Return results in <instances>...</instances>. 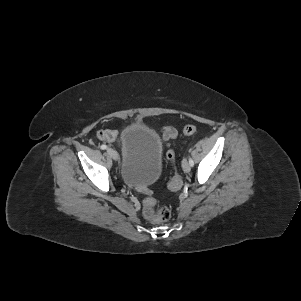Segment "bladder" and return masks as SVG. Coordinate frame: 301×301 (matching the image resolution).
<instances>
[{
  "label": "bladder",
  "instance_id": "bladder-1",
  "mask_svg": "<svg viewBox=\"0 0 301 301\" xmlns=\"http://www.w3.org/2000/svg\"><path fill=\"white\" fill-rule=\"evenodd\" d=\"M122 179L134 186L154 183L161 173L162 145L149 126L132 123L122 132Z\"/></svg>",
  "mask_w": 301,
  "mask_h": 301
}]
</instances>
